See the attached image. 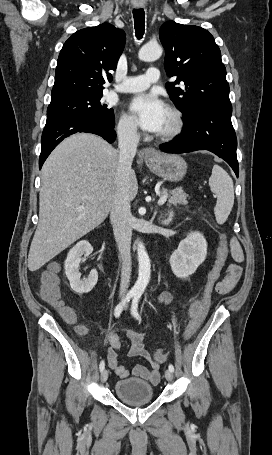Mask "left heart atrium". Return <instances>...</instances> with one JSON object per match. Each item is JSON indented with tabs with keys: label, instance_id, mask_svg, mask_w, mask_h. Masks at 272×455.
<instances>
[{
	"label": "left heart atrium",
	"instance_id": "39dd6f15",
	"mask_svg": "<svg viewBox=\"0 0 272 455\" xmlns=\"http://www.w3.org/2000/svg\"><path fill=\"white\" fill-rule=\"evenodd\" d=\"M129 111L143 130L152 133L161 132L168 113L165 103L154 93L136 95Z\"/></svg>",
	"mask_w": 272,
	"mask_h": 455
}]
</instances>
